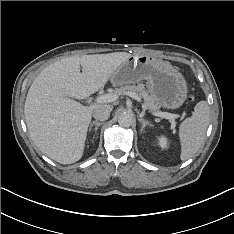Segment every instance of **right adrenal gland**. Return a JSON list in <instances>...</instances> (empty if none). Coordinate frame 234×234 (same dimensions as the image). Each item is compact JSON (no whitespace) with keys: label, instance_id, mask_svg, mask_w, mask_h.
Returning <instances> with one entry per match:
<instances>
[{"label":"right adrenal gland","instance_id":"right-adrenal-gland-1","mask_svg":"<svg viewBox=\"0 0 234 234\" xmlns=\"http://www.w3.org/2000/svg\"><path fill=\"white\" fill-rule=\"evenodd\" d=\"M100 125H102V122L93 121L89 126V131H91L92 127L95 126V133H97V129Z\"/></svg>","mask_w":234,"mask_h":234}]
</instances>
